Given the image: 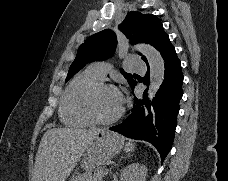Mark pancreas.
<instances>
[{
	"mask_svg": "<svg viewBox=\"0 0 228 181\" xmlns=\"http://www.w3.org/2000/svg\"><path fill=\"white\" fill-rule=\"evenodd\" d=\"M103 173L95 171V173H82L74 177V181H102Z\"/></svg>",
	"mask_w": 228,
	"mask_h": 181,
	"instance_id": "1",
	"label": "pancreas"
}]
</instances>
